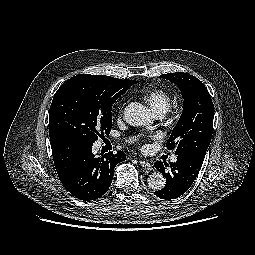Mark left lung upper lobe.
<instances>
[{
    "mask_svg": "<svg viewBox=\"0 0 255 255\" xmlns=\"http://www.w3.org/2000/svg\"><path fill=\"white\" fill-rule=\"evenodd\" d=\"M178 86L184 99L182 115L168 141L176 155L190 154L204 159L213 131L214 105L205 85L188 73L161 75Z\"/></svg>",
    "mask_w": 255,
    "mask_h": 255,
    "instance_id": "1",
    "label": "left lung upper lobe"
}]
</instances>
